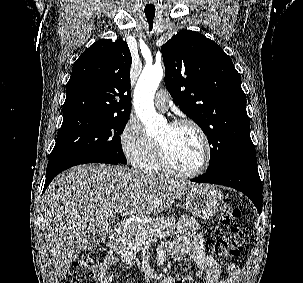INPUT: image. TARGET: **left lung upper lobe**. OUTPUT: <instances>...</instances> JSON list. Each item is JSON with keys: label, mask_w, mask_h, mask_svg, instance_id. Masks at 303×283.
Listing matches in <instances>:
<instances>
[{"label": "left lung upper lobe", "mask_w": 303, "mask_h": 283, "mask_svg": "<svg viewBox=\"0 0 303 283\" xmlns=\"http://www.w3.org/2000/svg\"><path fill=\"white\" fill-rule=\"evenodd\" d=\"M165 85L207 135L206 172L255 154L241 78L230 57L202 34L181 30L162 46Z\"/></svg>", "instance_id": "1"}]
</instances>
